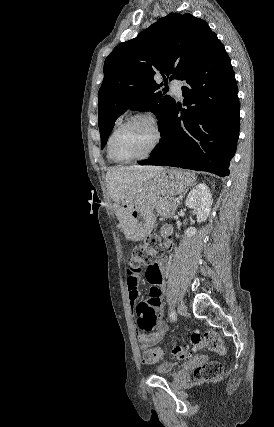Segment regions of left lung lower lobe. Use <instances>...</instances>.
I'll use <instances>...</instances> for the list:
<instances>
[{"label": "left lung lower lobe", "instance_id": "0a47b994", "mask_svg": "<svg viewBox=\"0 0 274 427\" xmlns=\"http://www.w3.org/2000/svg\"><path fill=\"white\" fill-rule=\"evenodd\" d=\"M180 80L184 105L166 113L162 139L140 165H166L229 175L239 136L237 83L223 44L211 38ZM178 114L181 116L179 117Z\"/></svg>", "mask_w": 274, "mask_h": 427}]
</instances>
